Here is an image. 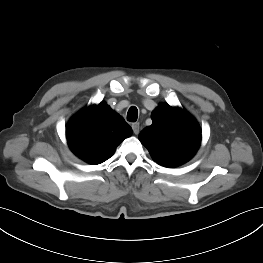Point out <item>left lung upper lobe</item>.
<instances>
[{
  "mask_svg": "<svg viewBox=\"0 0 263 263\" xmlns=\"http://www.w3.org/2000/svg\"><path fill=\"white\" fill-rule=\"evenodd\" d=\"M151 118L152 125L144 128L138 138L155 162L177 167L195 155L201 143V129L193 116L162 103Z\"/></svg>",
  "mask_w": 263,
  "mask_h": 263,
  "instance_id": "5c2ea615",
  "label": "left lung upper lobe"
}]
</instances>
